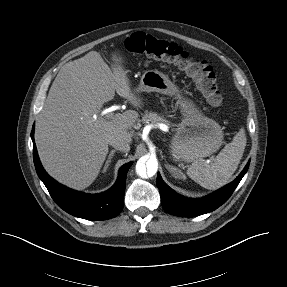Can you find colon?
Wrapping results in <instances>:
<instances>
[{
    "label": "colon",
    "instance_id": "colon-1",
    "mask_svg": "<svg viewBox=\"0 0 287 287\" xmlns=\"http://www.w3.org/2000/svg\"><path fill=\"white\" fill-rule=\"evenodd\" d=\"M127 51L178 65L193 79L205 100L213 107L222 104L223 97L213 67L205 60L191 57L176 43L136 32L125 41Z\"/></svg>",
    "mask_w": 287,
    "mask_h": 287
}]
</instances>
